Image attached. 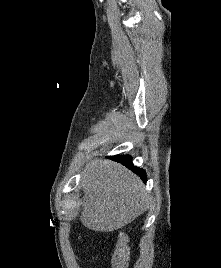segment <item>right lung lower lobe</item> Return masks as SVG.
Masks as SVG:
<instances>
[{
	"label": "right lung lower lobe",
	"mask_w": 221,
	"mask_h": 268,
	"mask_svg": "<svg viewBox=\"0 0 221 268\" xmlns=\"http://www.w3.org/2000/svg\"><path fill=\"white\" fill-rule=\"evenodd\" d=\"M111 159H113L114 161H117L119 163H122L123 165H125L126 167L131 169L133 172L138 174L141 177V179L146 183L147 178H146L145 171L143 169H140V168L135 167L133 165L131 156H129V155H116V156L111 157Z\"/></svg>",
	"instance_id": "98d812e1"
}]
</instances>
